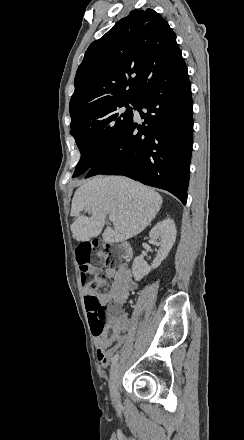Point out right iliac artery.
Masks as SVG:
<instances>
[{"mask_svg": "<svg viewBox=\"0 0 244 440\" xmlns=\"http://www.w3.org/2000/svg\"><path fill=\"white\" fill-rule=\"evenodd\" d=\"M118 358H119V355H118V354H115V355L111 358V362H112V364H111V368L117 363Z\"/></svg>", "mask_w": 244, "mask_h": 440, "instance_id": "obj_1", "label": "right iliac artery"}]
</instances>
